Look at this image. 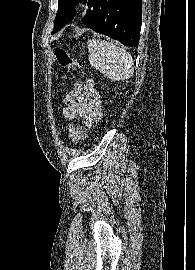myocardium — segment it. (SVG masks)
Instances as JSON below:
<instances>
[{"mask_svg": "<svg viewBox=\"0 0 195 270\" xmlns=\"http://www.w3.org/2000/svg\"><path fill=\"white\" fill-rule=\"evenodd\" d=\"M78 5H82V1H79V2H78Z\"/></svg>", "mask_w": 195, "mask_h": 270, "instance_id": "obj_1", "label": "myocardium"}]
</instances>
